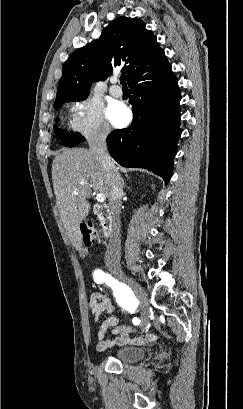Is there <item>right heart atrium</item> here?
I'll return each mask as SVG.
<instances>
[{"label":"right heart atrium","instance_id":"obj_1","mask_svg":"<svg viewBox=\"0 0 243 409\" xmlns=\"http://www.w3.org/2000/svg\"><path fill=\"white\" fill-rule=\"evenodd\" d=\"M69 119L72 131L87 139H105L110 133L100 103L91 96L80 97L70 104Z\"/></svg>","mask_w":243,"mask_h":409}]
</instances>
